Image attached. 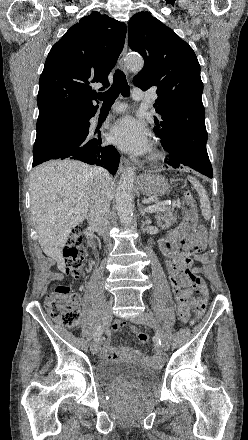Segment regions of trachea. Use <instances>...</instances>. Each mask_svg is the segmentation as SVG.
I'll list each match as a JSON object with an SVG mask.
<instances>
[{"label":"trachea","mask_w":248,"mask_h":440,"mask_svg":"<svg viewBox=\"0 0 248 440\" xmlns=\"http://www.w3.org/2000/svg\"><path fill=\"white\" fill-rule=\"evenodd\" d=\"M120 93L124 97H129L130 87L127 83L125 74L117 69L114 73L112 86L104 93L97 94V98L103 101L102 108L111 107Z\"/></svg>","instance_id":"obj_1"}]
</instances>
